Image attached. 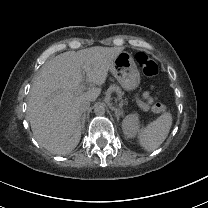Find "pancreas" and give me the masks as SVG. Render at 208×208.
Returning <instances> with one entry per match:
<instances>
[{"label":"pancreas","mask_w":208,"mask_h":208,"mask_svg":"<svg viewBox=\"0 0 208 208\" xmlns=\"http://www.w3.org/2000/svg\"><path fill=\"white\" fill-rule=\"evenodd\" d=\"M108 91L109 92L115 91L118 95V99L121 100L122 103L124 102V100L122 99V96L124 95V92L122 91V89L119 86L113 84L108 88Z\"/></svg>","instance_id":"pancreas-1"}]
</instances>
